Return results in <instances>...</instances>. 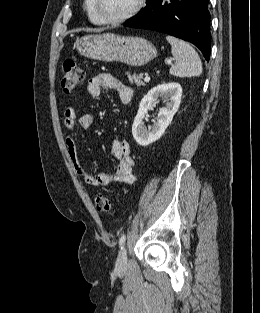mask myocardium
<instances>
[{"label": "myocardium", "instance_id": "f54148a6", "mask_svg": "<svg viewBox=\"0 0 260 313\" xmlns=\"http://www.w3.org/2000/svg\"><path fill=\"white\" fill-rule=\"evenodd\" d=\"M92 1H93V9L96 15L98 16V18L100 19V21L103 24H110V25H117V24H121L130 20L141 11L145 2V0H136L134 6L123 16H120L117 18H108L104 16L103 13L101 12L100 7H99V0H92Z\"/></svg>", "mask_w": 260, "mask_h": 313}]
</instances>
